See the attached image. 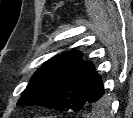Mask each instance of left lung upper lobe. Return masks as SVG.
Returning a JSON list of instances; mask_svg holds the SVG:
<instances>
[{
    "mask_svg": "<svg viewBox=\"0 0 133 118\" xmlns=\"http://www.w3.org/2000/svg\"><path fill=\"white\" fill-rule=\"evenodd\" d=\"M71 51L46 61L33 75L17 105H40L59 111H79L86 107L101 80L92 63Z\"/></svg>",
    "mask_w": 133,
    "mask_h": 118,
    "instance_id": "obj_1",
    "label": "left lung upper lobe"
}]
</instances>
